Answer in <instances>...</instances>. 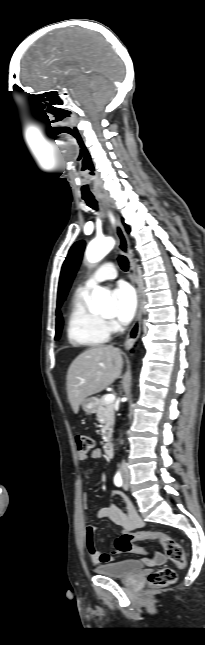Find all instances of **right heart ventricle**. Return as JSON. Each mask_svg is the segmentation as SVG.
Instances as JSON below:
<instances>
[{"instance_id": "obj_1", "label": "right heart ventricle", "mask_w": 205, "mask_h": 645, "mask_svg": "<svg viewBox=\"0 0 205 645\" xmlns=\"http://www.w3.org/2000/svg\"><path fill=\"white\" fill-rule=\"evenodd\" d=\"M110 328L102 316L89 306V292L78 289L72 299L67 322L71 344L94 347L109 339Z\"/></svg>"}]
</instances>
